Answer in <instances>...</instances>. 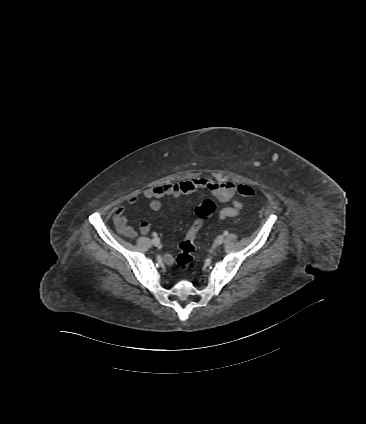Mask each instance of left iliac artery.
<instances>
[{"label": "left iliac artery", "instance_id": "obj_1", "mask_svg": "<svg viewBox=\"0 0 366 424\" xmlns=\"http://www.w3.org/2000/svg\"><path fill=\"white\" fill-rule=\"evenodd\" d=\"M228 234V231H224V235H227Z\"/></svg>", "mask_w": 366, "mask_h": 424}]
</instances>
